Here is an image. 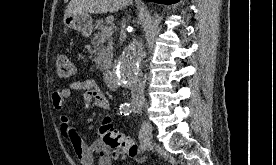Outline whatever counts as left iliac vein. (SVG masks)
<instances>
[{
  "label": "left iliac vein",
  "mask_w": 276,
  "mask_h": 165,
  "mask_svg": "<svg viewBox=\"0 0 276 165\" xmlns=\"http://www.w3.org/2000/svg\"><path fill=\"white\" fill-rule=\"evenodd\" d=\"M134 112H135V113H140V112H141V109H140V108H135V109H134Z\"/></svg>",
  "instance_id": "obj_1"
}]
</instances>
